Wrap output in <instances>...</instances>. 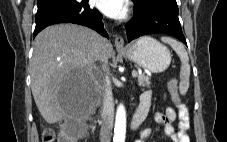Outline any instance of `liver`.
I'll return each mask as SVG.
<instances>
[{
  "label": "liver",
  "mask_w": 227,
  "mask_h": 142,
  "mask_svg": "<svg viewBox=\"0 0 227 142\" xmlns=\"http://www.w3.org/2000/svg\"><path fill=\"white\" fill-rule=\"evenodd\" d=\"M99 37L108 58L114 54L112 44L93 30L60 24L42 30L34 40L31 59V89L36 106L47 123L70 117L74 111L70 97L79 92V84L96 78L93 42ZM100 77V75H99Z\"/></svg>",
  "instance_id": "6515ba94"
}]
</instances>
